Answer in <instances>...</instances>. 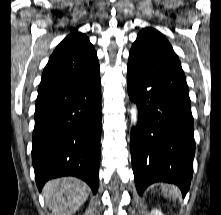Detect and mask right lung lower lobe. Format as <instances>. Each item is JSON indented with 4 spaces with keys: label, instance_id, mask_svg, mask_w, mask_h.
<instances>
[{
    "label": "right lung lower lobe",
    "instance_id": "obj_1",
    "mask_svg": "<svg viewBox=\"0 0 221 215\" xmlns=\"http://www.w3.org/2000/svg\"><path fill=\"white\" fill-rule=\"evenodd\" d=\"M32 162L39 191L53 178L76 176L99 186L101 82L99 71L36 100Z\"/></svg>",
    "mask_w": 221,
    "mask_h": 215
}]
</instances>
